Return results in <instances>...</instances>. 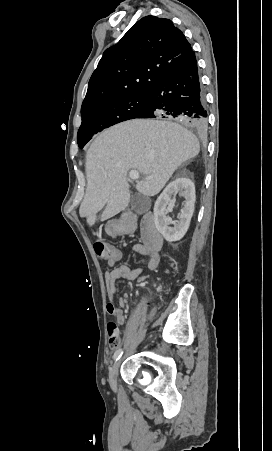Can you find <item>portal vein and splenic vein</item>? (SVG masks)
Returning <instances> with one entry per match:
<instances>
[{
	"instance_id": "18ae733b",
	"label": "portal vein and splenic vein",
	"mask_w": 272,
	"mask_h": 451,
	"mask_svg": "<svg viewBox=\"0 0 272 451\" xmlns=\"http://www.w3.org/2000/svg\"><path fill=\"white\" fill-rule=\"evenodd\" d=\"M129 178H131V180H139L141 176L137 170H131V172H129ZM145 180H147V178H145Z\"/></svg>"
}]
</instances>
